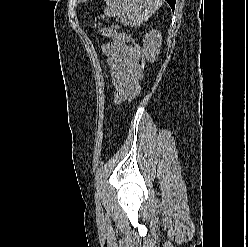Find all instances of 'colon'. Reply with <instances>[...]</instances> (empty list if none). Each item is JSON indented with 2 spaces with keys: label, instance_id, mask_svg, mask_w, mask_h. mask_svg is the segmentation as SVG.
I'll return each instance as SVG.
<instances>
[{
  "label": "colon",
  "instance_id": "5ec220e1",
  "mask_svg": "<svg viewBox=\"0 0 248 247\" xmlns=\"http://www.w3.org/2000/svg\"><path fill=\"white\" fill-rule=\"evenodd\" d=\"M98 32H100L104 36L112 38L113 40L128 42L131 45H133L134 48L136 49V52H137L136 65L138 66V68L140 70L144 69L145 58H144L143 52H142L141 48L139 47V45L137 43H135L128 35L118 33V32H116L110 28H107V27L98 28Z\"/></svg>",
  "mask_w": 248,
  "mask_h": 247
}]
</instances>
